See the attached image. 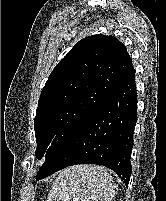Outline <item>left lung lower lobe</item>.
Returning <instances> with one entry per match:
<instances>
[{"instance_id": "left-lung-lower-lobe-1", "label": "left lung lower lobe", "mask_w": 166, "mask_h": 201, "mask_svg": "<svg viewBox=\"0 0 166 201\" xmlns=\"http://www.w3.org/2000/svg\"><path fill=\"white\" fill-rule=\"evenodd\" d=\"M136 122L137 93L132 66L84 123L45 160L36 180L68 166L97 164L113 170L128 185Z\"/></svg>"}]
</instances>
